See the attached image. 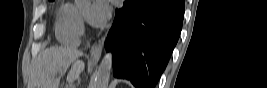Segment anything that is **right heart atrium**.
Instances as JSON below:
<instances>
[{
	"instance_id": "obj_1",
	"label": "right heart atrium",
	"mask_w": 267,
	"mask_h": 88,
	"mask_svg": "<svg viewBox=\"0 0 267 88\" xmlns=\"http://www.w3.org/2000/svg\"><path fill=\"white\" fill-rule=\"evenodd\" d=\"M77 28H78L79 36H82L84 33V26H83V22L80 17L78 18V21H77Z\"/></svg>"
}]
</instances>
